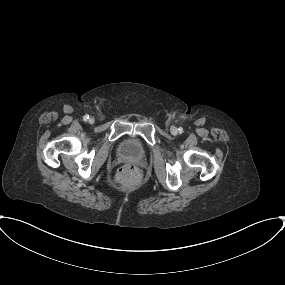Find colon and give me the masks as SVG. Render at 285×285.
Wrapping results in <instances>:
<instances>
[{"mask_svg": "<svg viewBox=\"0 0 285 285\" xmlns=\"http://www.w3.org/2000/svg\"><path fill=\"white\" fill-rule=\"evenodd\" d=\"M117 177L124 182L132 181L136 177L135 165L131 163L124 165L118 172Z\"/></svg>", "mask_w": 285, "mask_h": 285, "instance_id": "colon-1", "label": "colon"}]
</instances>
